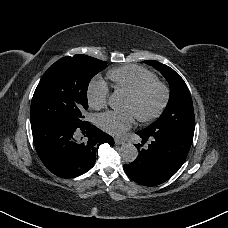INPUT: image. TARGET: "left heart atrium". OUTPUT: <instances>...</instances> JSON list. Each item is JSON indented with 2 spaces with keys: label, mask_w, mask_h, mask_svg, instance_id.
<instances>
[{
  "label": "left heart atrium",
  "mask_w": 228,
  "mask_h": 228,
  "mask_svg": "<svg viewBox=\"0 0 228 228\" xmlns=\"http://www.w3.org/2000/svg\"><path fill=\"white\" fill-rule=\"evenodd\" d=\"M99 121L106 132L116 135L132 126L133 114L128 111L123 113L109 111L102 114Z\"/></svg>",
  "instance_id": "39dd6f15"
}]
</instances>
